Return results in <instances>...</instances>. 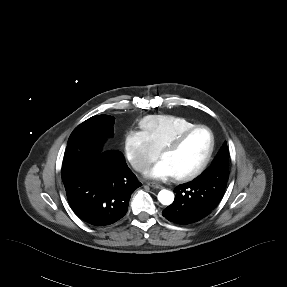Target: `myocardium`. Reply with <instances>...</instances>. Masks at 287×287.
Returning <instances> with one entry per match:
<instances>
[{
	"mask_svg": "<svg viewBox=\"0 0 287 287\" xmlns=\"http://www.w3.org/2000/svg\"><path fill=\"white\" fill-rule=\"evenodd\" d=\"M206 130L210 136V146L209 150L207 152L206 157L202 161V163L193 171L180 175V176H173V179L178 182H185L190 181L195 178H197L199 175H201L205 169L208 167L209 163L211 162V159L214 154L215 150V136L211 128H209L206 125H195L189 129L184 130L179 135H177L173 140H171L168 144H166L160 151L159 157L162 158V156L166 153L173 152L181 147V145L185 142V140L195 131L197 130Z\"/></svg>",
	"mask_w": 287,
	"mask_h": 287,
	"instance_id": "f54148a6",
	"label": "myocardium"
}]
</instances>
